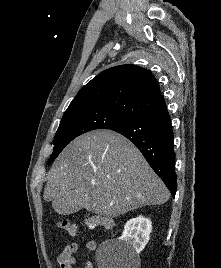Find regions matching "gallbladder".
Here are the masks:
<instances>
[{"label": "gallbladder", "instance_id": "obj_1", "mask_svg": "<svg viewBox=\"0 0 221 268\" xmlns=\"http://www.w3.org/2000/svg\"><path fill=\"white\" fill-rule=\"evenodd\" d=\"M84 207L83 199H55V213H62V216H67L81 210Z\"/></svg>", "mask_w": 221, "mask_h": 268}]
</instances>
